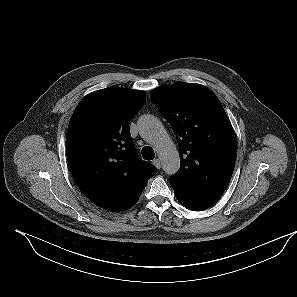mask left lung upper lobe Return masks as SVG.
Returning a JSON list of instances; mask_svg holds the SVG:
<instances>
[{
	"instance_id": "left-lung-upper-lobe-1",
	"label": "left lung upper lobe",
	"mask_w": 297,
	"mask_h": 297,
	"mask_svg": "<svg viewBox=\"0 0 297 297\" xmlns=\"http://www.w3.org/2000/svg\"><path fill=\"white\" fill-rule=\"evenodd\" d=\"M150 98L177 138L181 164L169 180L177 200L189 210H206L222 196L234 170L229 118L218 97L200 84L160 86Z\"/></svg>"
}]
</instances>
